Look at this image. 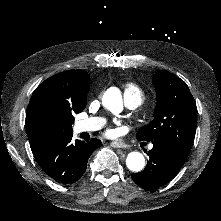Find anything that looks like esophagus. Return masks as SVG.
Masks as SVG:
<instances>
[{
  "label": "esophagus",
  "instance_id": "34e87169",
  "mask_svg": "<svg viewBox=\"0 0 221 221\" xmlns=\"http://www.w3.org/2000/svg\"><path fill=\"white\" fill-rule=\"evenodd\" d=\"M109 145L113 148H121V149H125L127 147L126 144L120 143V142H116V141H112L109 143Z\"/></svg>",
  "mask_w": 221,
  "mask_h": 221
}]
</instances>
